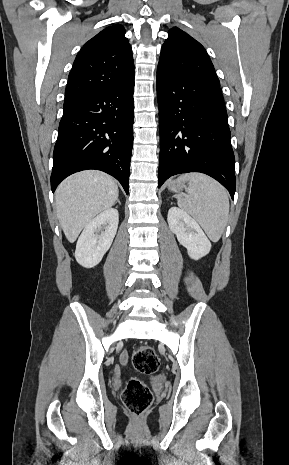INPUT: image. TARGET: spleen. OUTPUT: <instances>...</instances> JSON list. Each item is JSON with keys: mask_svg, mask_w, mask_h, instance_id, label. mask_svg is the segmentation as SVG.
Returning <instances> with one entry per match:
<instances>
[{"mask_svg": "<svg viewBox=\"0 0 289 465\" xmlns=\"http://www.w3.org/2000/svg\"><path fill=\"white\" fill-rule=\"evenodd\" d=\"M189 182L187 194L178 196L180 208L188 212L204 229L209 239L218 242L227 225L229 198L224 187L202 173H188L176 183Z\"/></svg>", "mask_w": 289, "mask_h": 465, "instance_id": "spleen-1", "label": "spleen"}]
</instances>
